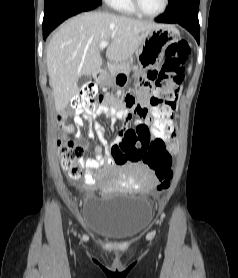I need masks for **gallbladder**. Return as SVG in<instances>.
I'll return each instance as SVG.
<instances>
[{"instance_id": "gallbladder-1", "label": "gallbladder", "mask_w": 238, "mask_h": 278, "mask_svg": "<svg viewBox=\"0 0 238 278\" xmlns=\"http://www.w3.org/2000/svg\"><path fill=\"white\" fill-rule=\"evenodd\" d=\"M90 80V77L89 76H81L79 79H78V86H82L84 85L85 83H87L88 81Z\"/></svg>"}]
</instances>
